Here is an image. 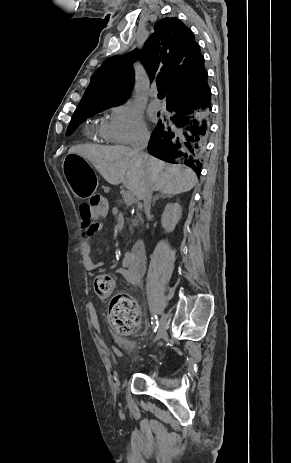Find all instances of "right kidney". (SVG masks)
I'll list each match as a JSON object with an SVG mask.
<instances>
[{
  "label": "right kidney",
  "instance_id": "right-kidney-1",
  "mask_svg": "<svg viewBox=\"0 0 291 463\" xmlns=\"http://www.w3.org/2000/svg\"><path fill=\"white\" fill-rule=\"evenodd\" d=\"M182 216V208L178 203L167 204L161 217L163 228L172 232Z\"/></svg>",
  "mask_w": 291,
  "mask_h": 463
}]
</instances>
